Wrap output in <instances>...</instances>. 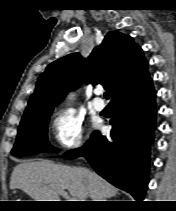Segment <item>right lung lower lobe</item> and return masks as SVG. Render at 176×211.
Listing matches in <instances>:
<instances>
[{
  "label": "right lung lower lobe",
  "instance_id": "98d812e1",
  "mask_svg": "<svg viewBox=\"0 0 176 211\" xmlns=\"http://www.w3.org/2000/svg\"><path fill=\"white\" fill-rule=\"evenodd\" d=\"M155 114V91L150 81L136 94L112 103L110 137L95 131L82 148L64 156H84L100 176L142 201L149 182Z\"/></svg>",
  "mask_w": 176,
  "mask_h": 211
}]
</instances>
